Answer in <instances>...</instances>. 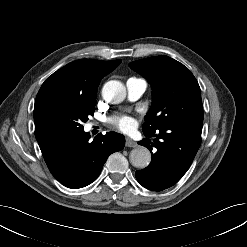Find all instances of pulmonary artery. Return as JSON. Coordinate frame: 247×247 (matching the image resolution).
I'll use <instances>...</instances> for the list:
<instances>
[{
    "label": "pulmonary artery",
    "instance_id": "1",
    "mask_svg": "<svg viewBox=\"0 0 247 247\" xmlns=\"http://www.w3.org/2000/svg\"><path fill=\"white\" fill-rule=\"evenodd\" d=\"M127 95L130 101L138 100L145 92L147 83L140 78H130L126 82Z\"/></svg>",
    "mask_w": 247,
    "mask_h": 247
}]
</instances>
